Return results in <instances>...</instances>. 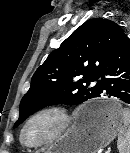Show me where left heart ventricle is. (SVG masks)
I'll return each mask as SVG.
<instances>
[{"instance_id":"obj_1","label":"left heart ventricle","mask_w":130,"mask_h":153,"mask_svg":"<svg viewBox=\"0 0 130 153\" xmlns=\"http://www.w3.org/2000/svg\"><path fill=\"white\" fill-rule=\"evenodd\" d=\"M55 127V121L50 117L35 120L25 133V140L31 143L38 142L49 135Z\"/></svg>"}]
</instances>
